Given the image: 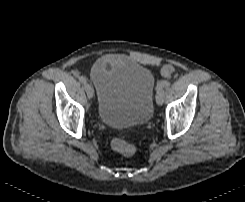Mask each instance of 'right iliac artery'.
Wrapping results in <instances>:
<instances>
[{
  "label": "right iliac artery",
  "mask_w": 245,
  "mask_h": 202,
  "mask_svg": "<svg viewBox=\"0 0 245 202\" xmlns=\"http://www.w3.org/2000/svg\"><path fill=\"white\" fill-rule=\"evenodd\" d=\"M79 81L81 82V83H86V78L85 77H83V76H81V77H79Z\"/></svg>",
  "instance_id": "right-iliac-artery-1"
}]
</instances>
